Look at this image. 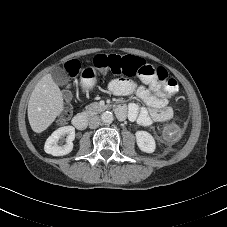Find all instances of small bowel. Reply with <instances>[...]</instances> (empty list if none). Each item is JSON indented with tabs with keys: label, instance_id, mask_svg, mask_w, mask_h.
<instances>
[{
	"label": "small bowel",
	"instance_id": "obj_1",
	"mask_svg": "<svg viewBox=\"0 0 227 227\" xmlns=\"http://www.w3.org/2000/svg\"><path fill=\"white\" fill-rule=\"evenodd\" d=\"M144 85H137L129 79H115L110 82L109 91L118 97L135 95L142 100L146 107L136 103L128 106V118L137 121L142 126H149L154 122H167L174 116V110L168 105L166 93L162 85L153 78L140 76ZM123 107V106H122ZM119 118H125L120 117Z\"/></svg>",
	"mask_w": 227,
	"mask_h": 227
}]
</instances>
